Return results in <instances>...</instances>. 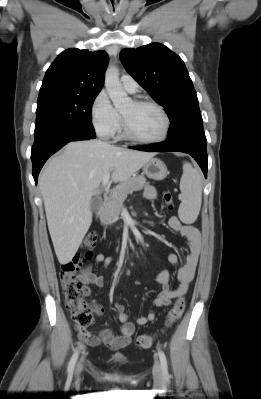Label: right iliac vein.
<instances>
[{"instance_id":"1","label":"right iliac vein","mask_w":261,"mask_h":399,"mask_svg":"<svg viewBox=\"0 0 261 399\" xmlns=\"http://www.w3.org/2000/svg\"><path fill=\"white\" fill-rule=\"evenodd\" d=\"M82 361H80L76 367V374H79L82 371Z\"/></svg>"}]
</instances>
